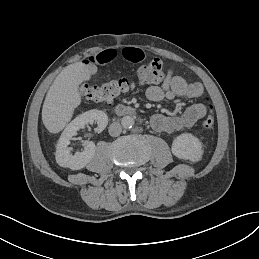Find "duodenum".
<instances>
[{
    "label": "duodenum",
    "mask_w": 259,
    "mask_h": 259,
    "mask_svg": "<svg viewBox=\"0 0 259 259\" xmlns=\"http://www.w3.org/2000/svg\"><path fill=\"white\" fill-rule=\"evenodd\" d=\"M115 113L118 116H134V115H136L135 109H133L132 107L123 105V104H118L115 107Z\"/></svg>",
    "instance_id": "1"
}]
</instances>
